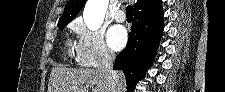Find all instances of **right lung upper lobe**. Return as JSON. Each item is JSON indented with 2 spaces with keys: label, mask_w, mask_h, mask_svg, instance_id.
Masks as SVG:
<instances>
[{
  "label": "right lung upper lobe",
  "mask_w": 225,
  "mask_h": 92,
  "mask_svg": "<svg viewBox=\"0 0 225 92\" xmlns=\"http://www.w3.org/2000/svg\"><path fill=\"white\" fill-rule=\"evenodd\" d=\"M86 0H69L59 22H70L83 8ZM161 0H137L134 4L135 16H151L162 11Z\"/></svg>",
  "instance_id": "right-lung-upper-lobe-1"
}]
</instances>
